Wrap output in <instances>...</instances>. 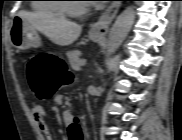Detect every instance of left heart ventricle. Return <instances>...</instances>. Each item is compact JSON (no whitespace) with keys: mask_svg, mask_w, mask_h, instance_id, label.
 Returning <instances> with one entry per match:
<instances>
[{"mask_svg":"<svg viewBox=\"0 0 182 140\" xmlns=\"http://www.w3.org/2000/svg\"><path fill=\"white\" fill-rule=\"evenodd\" d=\"M82 3L81 2H73L74 6H80Z\"/></svg>","mask_w":182,"mask_h":140,"instance_id":"1","label":"left heart ventricle"}]
</instances>
